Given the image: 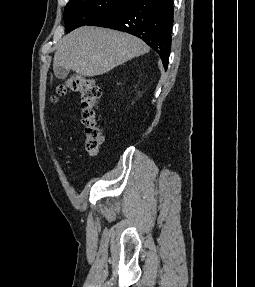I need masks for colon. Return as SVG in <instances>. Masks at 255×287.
Instances as JSON below:
<instances>
[{
    "label": "colon",
    "mask_w": 255,
    "mask_h": 287,
    "mask_svg": "<svg viewBox=\"0 0 255 287\" xmlns=\"http://www.w3.org/2000/svg\"><path fill=\"white\" fill-rule=\"evenodd\" d=\"M69 92L78 93L80 96L85 148L89 155L95 156L98 154L104 141L98 116V105L102 95L101 88L91 78L72 74L56 86L52 99L56 101L59 97L65 96Z\"/></svg>",
    "instance_id": "1"
}]
</instances>
